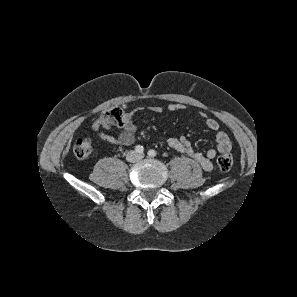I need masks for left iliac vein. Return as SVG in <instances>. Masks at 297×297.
<instances>
[{"instance_id":"left-iliac-vein-1","label":"left iliac vein","mask_w":297,"mask_h":297,"mask_svg":"<svg viewBox=\"0 0 297 297\" xmlns=\"http://www.w3.org/2000/svg\"><path fill=\"white\" fill-rule=\"evenodd\" d=\"M139 157H140V158H143V157H144V155H143V154H141V155H139Z\"/></svg>"}]
</instances>
